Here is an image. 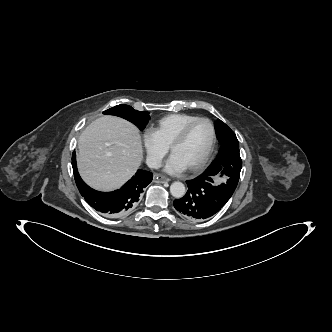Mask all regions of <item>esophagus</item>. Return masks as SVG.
<instances>
[{
	"instance_id": "1",
	"label": "esophagus",
	"mask_w": 332,
	"mask_h": 332,
	"mask_svg": "<svg viewBox=\"0 0 332 332\" xmlns=\"http://www.w3.org/2000/svg\"><path fill=\"white\" fill-rule=\"evenodd\" d=\"M170 179L164 175L161 174H156L154 175V182L156 183H164V182H169Z\"/></svg>"
}]
</instances>
